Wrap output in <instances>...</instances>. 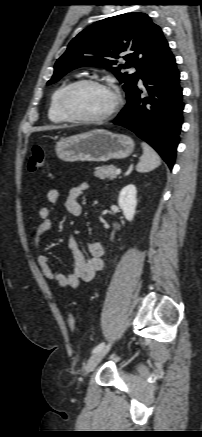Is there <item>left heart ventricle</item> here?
<instances>
[{"mask_svg":"<svg viewBox=\"0 0 202 437\" xmlns=\"http://www.w3.org/2000/svg\"><path fill=\"white\" fill-rule=\"evenodd\" d=\"M114 103L113 94L103 88L85 85L73 92L69 99L70 109L84 117H98L107 113Z\"/></svg>","mask_w":202,"mask_h":437,"instance_id":"obj_1","label":"left heart ventricle"}]
</instances>
